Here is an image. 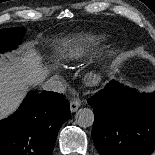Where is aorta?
<instances>
[{"instance_id": "762f6f07", "label": "aorta", "mask_w": 155, "mask_h": 155, "mask_svg": "<svg viewBox=\"0 0 155 155\" xmlns=\"http://www.w3.org/2000/svg\"><path fill=\"white\" fill-rule=\"evenodd\" d=\"M75 122L80 127H90L94 123V113L89 108H81L75 114Z\"/></svg>"}]
</instances>
